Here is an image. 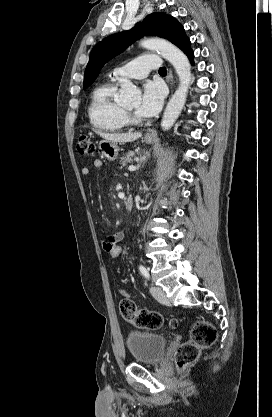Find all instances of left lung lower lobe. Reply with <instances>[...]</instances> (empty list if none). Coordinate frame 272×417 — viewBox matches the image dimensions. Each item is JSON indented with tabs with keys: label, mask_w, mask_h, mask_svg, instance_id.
I'll return each mask as SVG.
<instances>
[{
	"label": "left lung lower lobe",
	"mask_w": 272,
	"mask_h": 417,
	"mask_svg": "<svg viewBox=\"0 0 272 417\" xmlns=\"http://www.w3.org/2000/svg\"><path fill=\"white\" fill-rule=\"evenodd\" d=\"M185 54L187 55L189 60L193 63L194 53H193L192 49H189Z\"/></svg>",
	"instance_id": "obj_1"
}]
</instances>
